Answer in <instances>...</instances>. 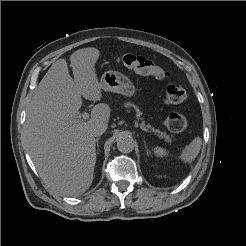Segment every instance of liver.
I'll return each instance as SVG.
<instances>
[{
	"label": "liver",
	"instance_id": "obj_1",
	"mask_svg": "<svg viewBox=\"0 0 246 246\" xmlns=\"http://www.w3.org/2000/svg\"><path fill=\"white\" fill-rule=\"evenodd\" d=\"M100 51L84 48L70 56L74 80L65 59L52 64L28 105L24 124V142L35 167L51 189L78 196L93 182L96 164V140L91 129L108 125L110 107L99 103L91 118H78L81 96L100 101L101 85L95 64Z\"/></svg>",
	"mask_w": 246,
	"mask_h": 246
}]
</instances>
